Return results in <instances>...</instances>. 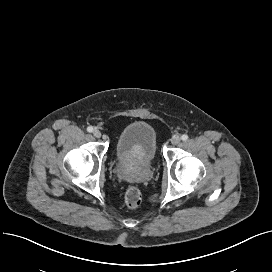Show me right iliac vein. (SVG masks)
Returning <instances> with one entry per match:
<instances>
[{
    "label": "right iliac vein",
    "mask_w": 272,
    "mask_h": 272,
    "mask_svg": "<svg viewBox=\"0 0 272 272\" xmlns=\"http://www.w3.org/2000/svg\"><path fill=\"white\" fill-rule=\"evenodd\" d=\"M93 135H94L96 138H100L102 134H101V131H100V130L95 129V130L93 131Z\"/></svg>",
    "instance_id": "1"
}]
</instances>
